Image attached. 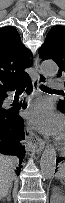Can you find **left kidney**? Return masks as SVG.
<instances>
[{
    "instance_id": "5707ae66",
    "label": "left kidney",
    "mask_w": 65,
    "mask_h": 203,
    "mask_svg": "<svg viewBox=\"0 0 65 203\" xmlns=\"http://www.w3.org/2000/svg\"><path fill=\"white\" fill-rule=\"evenodd\" d=\"M58 199H59V203H65V197L61 194L57 195ZM52 203V202H51Z\"/></svg>"
}]
</instances>
